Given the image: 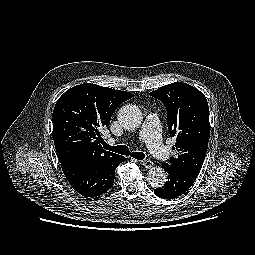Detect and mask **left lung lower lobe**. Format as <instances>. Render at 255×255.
Instances as JSON below:
<instances>
[{
    "label": "left lung lower lobe",
    "mask_w": 255,
    "mask_h": 255,
    "mask_svg": "<svg viewBox=\"0 0 255 255\" xmlns=\"http://www.w3.org/2000/svg\"><path fill=\"white\" fill-rule=\"evenodd\" d=\"M168 174V181L161 188L155 189V194L163 199H175L186 193L196 180V176L170 163L162 164Z\"/></svg>",
    "instance_id": "0a47b994"
}]
</instances>
